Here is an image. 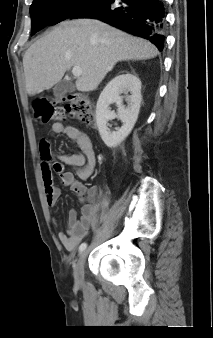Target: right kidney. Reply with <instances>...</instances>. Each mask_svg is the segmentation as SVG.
<instances>
[{"mask_svg": "<svg viewBox=\"0 0 213 338\" xmlns=\"http://www.w3.org/2000/svg\"><path fill=\"white\" fill-rule=\"evenodd\" d=\"M122 93L131 94L126 98L127 107L123 105ZM141 99V81L130 73L116 76L103 89L97 101L96 123L106 146L116 147L130 134L138 118ZM112 103L119 106L117 115L109 109ZM116 117L122 121L123 126L111 131L108 121Z\"/></svg>", "mask_w": 213, "mask_h": 338, "instance_id": "ca27d5eb", "label": "right kidney"}]
</instances>
